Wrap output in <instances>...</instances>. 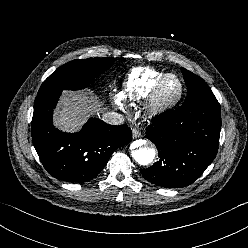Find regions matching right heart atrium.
Here are the masks:
<instances>
[{"mask_svg":"<svg viewBox=\"0 0 248 248\" xmlns=\"http://www.w3.org/2000/svg\"><path fill=\"white\" fill-rule=\"evenodd\" d=\"M115 100H116V103L119 106H123V96H122V94H117Z\"/></svg>","mask_w":248,"mask_h":248,"instance_id":"right-heart-atrium-1","label":"right heart atrium"}]
</instances>
